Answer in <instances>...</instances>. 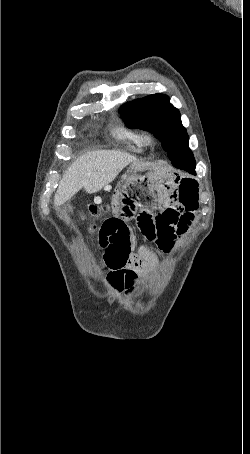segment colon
<instances>
[{"label": "colon", "instance_id": "colon-1", "mask_svg": "<svg viewBox=\"0 0 250 454\" xmlns=\"http://www.w3.org/2000/svg\"><path fill=\"white\" fill-rule=\"evenodd\" d=\"M106 211H108V206L91 205L88 209V213L92 217H100Z\"/></svg>", "mask_w": 250, "mask_h": 454}]
</instances>
